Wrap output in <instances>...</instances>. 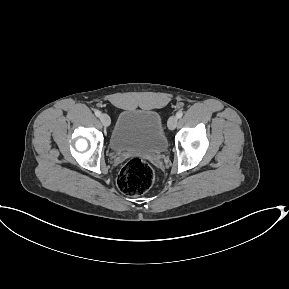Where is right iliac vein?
Returning a JSON list of instances; mask_svg holds the SVG:
<instances>
[{
  "label": "right iliac vein",
  "instance_id": "1",
  "mask_svg": "<svg viewBox=\"0 0 289 289\" xmlns=\"http://www.w3.org/2000/svg\"><path fill=\"white\" fill-rule=\"evenodd\" d=\"M100 121L103 126L108 127L111 123V119L107 114H101L100 115Z\"/></svg>",
  "mask_w": 289,
  "mask_h": 289
}]
</instances>
